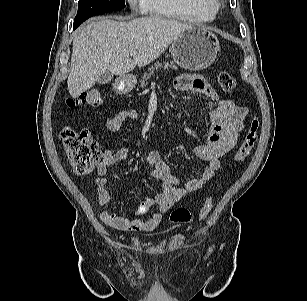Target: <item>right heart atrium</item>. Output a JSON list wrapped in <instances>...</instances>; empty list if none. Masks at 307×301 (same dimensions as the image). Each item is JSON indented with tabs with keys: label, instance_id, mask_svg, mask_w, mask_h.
<instances>
[{
	"label": "right heart atrium",
	"instance_id": "1",
	"mask_svg": "<svg viewBox=\"0 0 307 301\" xmlns=\"http://www.w3.org/2000/svg\"><path fill=\"white\" fill-rule=\"evenodd\" d=\"M132 7H140V9H146V0H128Z\"/></svg>",
	"mask_w": 307,
	"mask_h": 301
}]
</instances>
